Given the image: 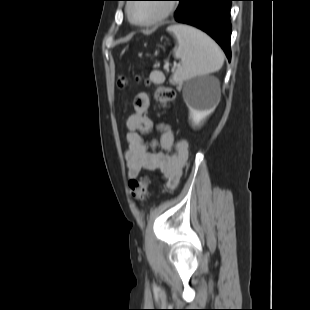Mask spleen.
<instances>
[{
	"mask_svg": "<svg viewBox=\"0 0 310 310\" xmlns=\"http://www.w3.org/2000/svg\"><path fill=\"white\" fill-rule=\"evenodd\" d=\"M167 30L177 40L174 56L182 62L172 75L171 83H182L221 69L224 63L223 51L207 34L183 24L172 25Z\"/></svg>",
	"mask_w": 310,
	"mask_h": 310,
	"instance_id": "3e777b00",
	"label": "spleen"
}]
</instances>
